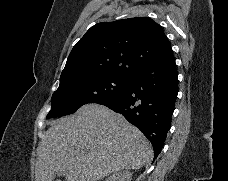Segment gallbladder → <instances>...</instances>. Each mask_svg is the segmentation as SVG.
<instances>
[{"mask_svg": "<svg viewBox=\"0 0 228 181\" xmlns=\"http://www.w3.org/2000/svg\"><path fill=\"white\" fill-rule=\"evenodd\" d=\"M58 177H63L64 173H57Z\"/></svg>", "mask_w": 228, "mask_h": 181, "instance_id": "obj_1", "label": "gallbladder"}]
</instances>
